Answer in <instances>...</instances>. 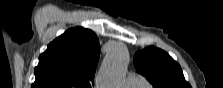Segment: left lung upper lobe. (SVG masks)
I'll return each mask as SVG.
<instances>
[{"label": "left lung upper lobe", "mask_w": 223, "mask_h": 88, "mask_svg": "<svg viewBox=\"0 0 223 88\" xmlns=\"http://www.w3.org/2000/svg\"><path fill=\"white\" fill-rule=\"evenodd\" d=\"M133 62L154 88H191L180 65L161 49L147 47L134 55Z\"/></svg>", "instance_id": "left-lung-upper-lobe-1"}]
</instances>
